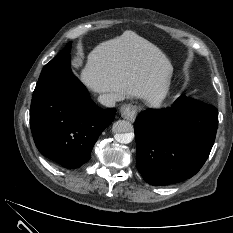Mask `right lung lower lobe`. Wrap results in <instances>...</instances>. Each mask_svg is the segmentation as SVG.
I'll use <instances>...</instances> for the list:
<instances>
[{"label": "right lung lower lobe", "instance_id": "98d812e1", "mask_svg": "<svg viewBox=\"0 0 233 233\" xmlns=\"http://www.w3.org/2000/svg\"><path fill=\"white\" fill-rule=\"evenodd\" d=\"M114 108L103 110L89 98L70 68V49L43 68L30 108V126L38 150L65 168L90 159L101 132L113 121Z\"/></svg>", "mask_w": 233, "mask_h": 233}]
</instances>
